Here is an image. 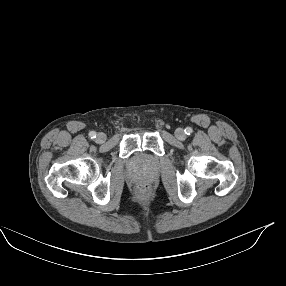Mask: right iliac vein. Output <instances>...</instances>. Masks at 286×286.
<instances>
[{"instance_id": "obj_1", "label": "right iliac vein", "mask_w": 286, "mask_h": 286, "mask_svg": "<svg viewBox=\"0 0 286 286\" xmlns=\"http://www.w3.org/2000/svg\"><path fill=\"white\" fill-rule=\"evenodd\" d=\"M107 137L104 133H98L96 136V141L100 144L104 143L106 141Z\"/></svg>"}]
</instances>
